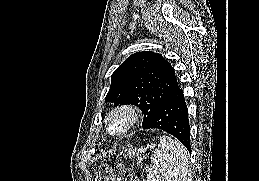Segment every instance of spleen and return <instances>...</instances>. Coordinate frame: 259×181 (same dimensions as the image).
<instances>
[{"instance_id": "3e777b00", "label": "spleen", "mask_w": 259, "mask_h": 181, "mask_svg": "<svg viewBox=\"0 0 259 181\" xmlns=\"http://www.w3.org/2000/svg\"><path fill=\"white\" fill-rule=\"evenodd\" d=\"M153 167L147 181H188L189 155L186 148L170 136L163 135L151 157Z\"/></svg>"}]
</instances>
